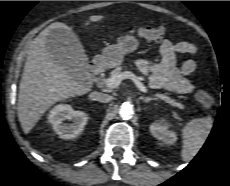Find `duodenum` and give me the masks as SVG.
Listing matches in <instances>:
<instances>
[{"instance_id": "1", "label": "duodenum", "mask_w": 230, "mask_h": 186, "mask_svg": "<svg viewBox=\"0 0 230 186\" xmlns=\"http://www.w3.org/2000/svg\"><path fill=\"white\" fill-rule=\"evenodd\" d=\"M102 68H103V65L100 61L91 62L88 66V70L93 76H96L97 74H99Z\"/></svg>"}]
</instances>
